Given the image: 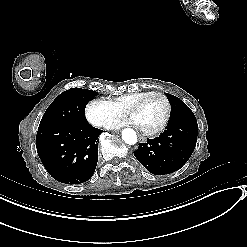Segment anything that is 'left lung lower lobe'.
<instances>
[{
    "instance_id": "1",
    "label": "left lung lower lobe",
    "mask_w": 247,
    "mask_h": 247,
    "mask_svg": "<svg viewBox=\"0 0 247 247\" xmlns=\"http://www.w3.org/2000/svg\"><path fill=\"white\" fill-rule=\"evenodd\" d=\"M196 119L169 122L166 130L154 139H147L134 151L137 160L151 173L170 174L179 170L190 158L197 142Z\"/></svg>"
}]
</instances>
